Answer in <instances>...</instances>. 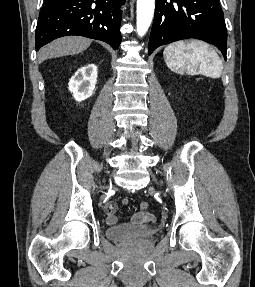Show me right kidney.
<instances>
[{
	"label": "right kidney",
	"mask_w": 255,
	"mask_h": 287,
	"mask_svg": "<svg viewBox=\"0 0 255 287\" xmlns=\"http://www.w3.org/2000/svg\"><path fill=\"white\" fill-rule=\"evenodd\" d=\"M97 82V66L95 64H87L82 66L71 80H69V90L72 92L75 100L81 102L90 98L95 90V84Z\"/></svg>",
	"instance_id": "obj_1"
}]
</instances>
